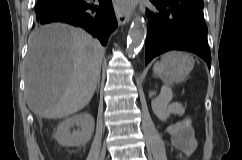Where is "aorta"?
Instances as JSON below:
<instances>
[{
	"instance_id": "1",
	"label": "aorta",
	"mask_w": 242,
	"mask_h": 160,
	"mask_svg": "<svg viewBox=\"0 0 242 160\" xmlns=\"http://www.w3.org/2000/svg\"><path fill=\"white\" fill-rule=\"evenodd\" d=\"M146 23L140 16L135 17L128 32L130 50L133 52L141 48L146 36Z\"/></svg>"
}]
</instances>
